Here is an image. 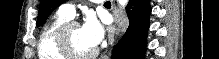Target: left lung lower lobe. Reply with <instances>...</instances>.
Returning <instances> with one entry per match:
<instances>
[{
    "mask_svg": "<svg viewBox=\"0 0 219 59\" xmlns=\"http://www.w3.org/2000/svg\"><path fill=\"white\" fill-rule=\"evenodd\" d=\"M126 12L129 26L114 47L112 59H144L151 14L150 0H129Z\"/></svg>",
    "mask_w": 219,
    "mask_h": 59,
    "instance_id": "1",
    "label": "left lung lower lobe"
}]
</instances>
